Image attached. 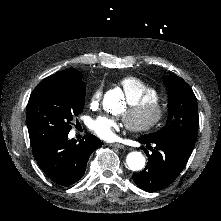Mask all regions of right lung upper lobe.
<instances>
[{
    "label": "right lung upper lobe",
    "mask_w": 221,
    "mask_h": 221,
    "mask_svg": "<svg viewBox=\"0 0 221 221\" xmlns=\"http://www.w3.org/2000/svg\"><path fill=\"white\" fill-rule=\"evenodd\" d=\"M78 75L81 74L74 68L66 69L56 74H53V76H59V77H76Z\"/></svg>",
    "instance_id": "cb5924a9"
}]
</instances>
